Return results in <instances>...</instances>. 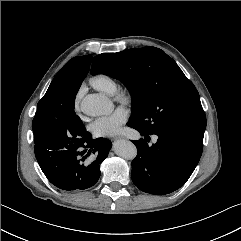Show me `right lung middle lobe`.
<instances>
[{"instance_id": "obj_1", "label": "right lung middle lobe", "mask_w": 241, "mask_h": 241, "mask_svg": "<svg viewBox=\"0 0 241 241\" xmlns=\"http://www.w3.org/2000/svg\"><path fill=\"white\" fill-rule=\"evenodd\" d=\"M77 92L66 82H57L38 102L32 123L34 136L53 150L74 148L89 135L74 111Z\"/></svg>"}]
</instances>
